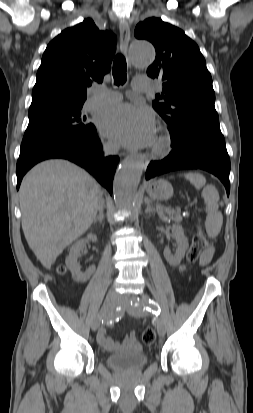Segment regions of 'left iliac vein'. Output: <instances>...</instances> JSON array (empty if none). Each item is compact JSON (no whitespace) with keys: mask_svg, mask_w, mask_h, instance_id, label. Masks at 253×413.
Returning a JSON list of instances; mask_svg holds the SVG:
<instances>
[{"mask_svg":"<svg viewBox=\"0 0 253 413\" xmlns=\"http://www.w3.org/2000/svg\"><path fill=\"white\" fill-rule=\"evenodd\" d=\"M137 298L132 297L131 300H136ZM119 304L126 309V311L134 317H143L145 311L143 307L134 306L130 304V298L127 295H122L119 297ZM157 332L160 337H163L166 332V327L162 319L157 321Z\"/></svg>","mask_w":253,"mask_h":413,"instance_id":"1","label":"left iliac vein"}]
</instances>
